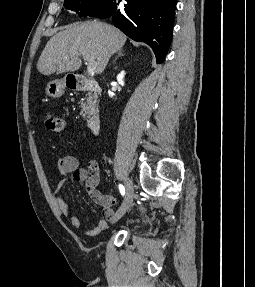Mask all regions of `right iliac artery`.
Returning <instances> with one entry per match:
<instances>
[{"mask_svg":"<svg viewBox=\"0 0 255 287\" xmlns=\"http://www.w3.org/2000/svg\"><path fill=\"white\" fill-rule=\"evenodd\" d=\"M119 190H120V193H121L122 195L125 194V189H124V186H123L122 184L119 185Z\"/></svg>","mask_w":255,"mask_h":287,"instance_id":"right-iliac-artery-1","label":"right iliac artery"}]
</instances>
